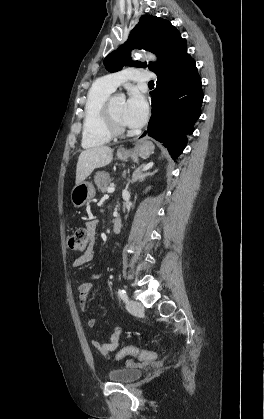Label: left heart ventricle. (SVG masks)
<instances>
[{
  "label": "left heart ventricle",
  "instance_id": "1",
  "mask_svg": "<svg viewBox=\"0 0 264 419\" xmlns=\"http://www.w3.org/2000/svg\"><path fill=\"white\" fill-rule=\"evenodd\" d=\"M125 108V101L121 98L116 97L112 104L113 113L116 116V118L125 124L123 120V113Z\"/></svg>",
  "mask_w": 264,
  "mask_h": 419
}]
</instances>
